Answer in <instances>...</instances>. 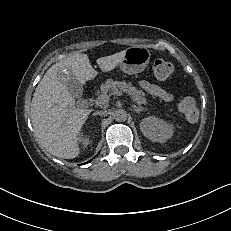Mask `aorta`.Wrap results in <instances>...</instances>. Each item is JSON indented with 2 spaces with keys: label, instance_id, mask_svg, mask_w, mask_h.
I'll return each instance as SVG.
<instances>
[{
  "label": "aorta",
  "instance_id": "aorta-1",
  "mask_svg": "<svg viewBox=\"0 0 231 231\" xmlns=\"http://www.w3.org/2000/svg\"><path fill=\"white\" fill-rule=\"evenodd\" d=\"M128 114L123 109H118L114 112V119L118 122H124L127 120Z\"/></svg>",
  "mask_w": 231,
  "mask_h": 231
}]
</instances>
